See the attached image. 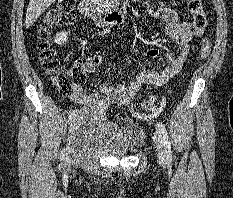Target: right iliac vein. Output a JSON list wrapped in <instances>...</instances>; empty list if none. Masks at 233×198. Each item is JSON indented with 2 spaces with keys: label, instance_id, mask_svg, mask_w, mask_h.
<instances>
[{
  "label": "right iliac vein",
  "instance_id": "obj_1",
  "mask_svg": "<svg viewBox=\"0 0 233 198\" xmlns=\"http://www.w3.org/2000/svg\"><path fill=\"white\" fill-rule=\"evenodd\" d=\"M73 157L74 156H73V150H72V148H68L66 150V154H65V161H66V163L67 164L70 163L72 161Z\"/></svg>",
  "mask_w": 233,
  "mask_h": 198
}]
</instances>
